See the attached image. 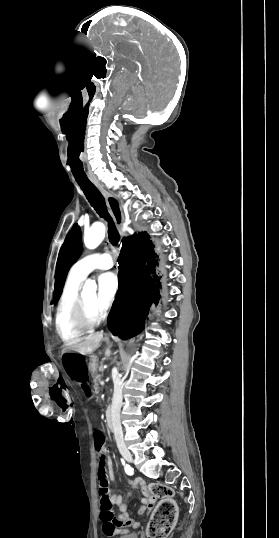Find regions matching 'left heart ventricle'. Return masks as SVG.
<instances>
[{"label": "left heart ventricle", "instance_id": "left-heart-ventricle-1", "mask_svg": "<svg viewBox=\"0 0 279 538\" xmlns=\"http://www.w3.org/2000/svg\"><path fill=\"white\" fill-rule=\"evenodd\" d=\"M86 300L95 310H99L98 293L96 290L84 293Z\"/></svg>", "mask_w": 279, "mask_h": 538}]
</instances>
